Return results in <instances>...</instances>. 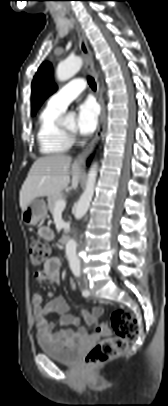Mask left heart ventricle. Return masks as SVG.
Returning <instances> with one entry per match:
<instances>
[{
	"mask_svg": "<svg viewBox=\"0 0 168 406\" xmlns=\"http://www.w3.org/2000/svg\"><path fill=\"white\" fill-rule=\"evenodd\" d=\"M67 130H71L73 131L75 129V120L72 119L70 121H68L65 126H64Z\"/></svg>",
	"mask_w": 168,
	"mask_h": 406,
	"instance_id": "left-heart-ventricle-1",
	"label": "left heart ventricle"
}]
</instances>
